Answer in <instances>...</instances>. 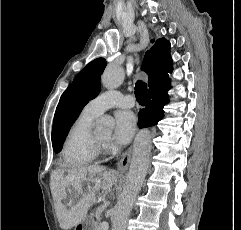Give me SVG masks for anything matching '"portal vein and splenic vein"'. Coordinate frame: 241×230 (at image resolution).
<instances>
[{"label":"portal vein and splenic vein","instance_id":"portal-vein-and-splenic-vein-1","mask_svg":"<svg viewBox=\"0 0 241 230\" xmlns=\"http://www.w3.org/2000/svg\"><path fill=\"white\" fill-rule=\"evenodd\" d=\"M101 227H102L103 229H106V228L108 227V224H107L106 222L101 223Z\"/></svg>","mask_w":241,"mask_h":230}]
</instances>
